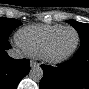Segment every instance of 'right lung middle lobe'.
Listing matches in <instances>:
<instances>
[{
  "instance_id": "1",
  "label": "right lung middle lobe",
  "mask_w": 89,
  "mask_h": 89,
  "mask_svg": "<svg viewBox=\"0 0 89 89\" xmlns=\"http://www.w3.org/2000/svg\"><path fill=\"white\" fill-rule=\"evenodd\" d=\"M22 23L16 19L0 18V40H8L10 33Z\"/></svg>"
}]
</instances>
